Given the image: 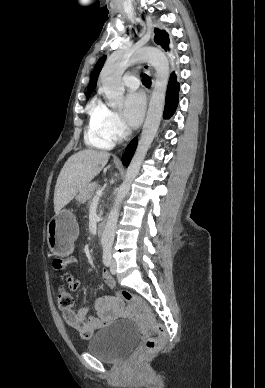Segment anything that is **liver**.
<instances>
[{
  "mask_svg": "<svg viewBox=\"0 0 265 388\" xmlns=\"http://www.w3.org/2000/svg\"><path fill=\"white\" fill-rule=\"evenodd\" d=\"M108 152L98 150H81L71 156L64 164L56 182L54 192V212L59 214L67 206L81 188L90 184L91 180L100 174L106 166Z\"/></svg>",
  "mask_w": 265,
  "mask_h": 388,
  "instance_id": "1",
  "label": "liver"
}]
</instances>
